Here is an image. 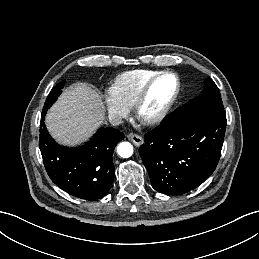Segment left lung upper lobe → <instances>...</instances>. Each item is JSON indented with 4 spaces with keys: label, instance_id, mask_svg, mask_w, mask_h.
I'll return each mask as SVG.
<instances>
[{
    "label": "left lung upper lobe",
    "instance_id": "obj_1",
    "mask_svg": "<svg viewBox=\"0 0 259 259\" xmlns=\"http://www.w3.org/2000/svg\"><path fill=\"white\" fill-rule=\"evenodd\" d=\"M220 109L224 110L223 102L221 99L220 91L216 84L209 78L205 80V86L202 94L184 106L176 109L173 113L167 116L162 122H167L181 114L187 113L196 109Z\"/></svg>",
    "mask_w": 259,
    "mask_h": 259
}]
</instances>
